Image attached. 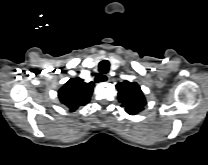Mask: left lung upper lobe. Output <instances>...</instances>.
Returning <instances> with one entry per match:
<instances>
[{"instance_id": "obj_1", "label": "left lung upper lobe", "mask_w": 208, "mask_h": 165, "mask_svg": "<svg viewBox=\"0 0 208 165\" xmlns=\"http://www.w3.org/2000/svg\"><path fill=\"white\" fill-rule=\"evenodd\" d=\"M116 88L119 102L128 114L135 115L144 109L146 100L137 83L124 81L118 83Z\"/></svg>"}]
</instances>
